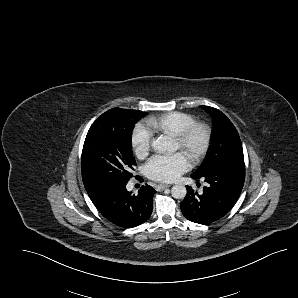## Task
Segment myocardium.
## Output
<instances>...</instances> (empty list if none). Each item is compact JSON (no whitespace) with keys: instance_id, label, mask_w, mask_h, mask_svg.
<instances>
[{"instance_id":"obj_1","label":"myocardium","mask_w":298,"mask_h":298,"mask_svg":"<svg viewBox=\"0 0 298 298\" xmlns=\"http://www.w3.org/2000/svg\"><path fill=\"white\" fill-rule=\"evenodd\" d=\"M192 136H196L197 143L195 149L187 158V161L193 163L201 156L208 143V130L204 124L192 123L186 125L167 134L164 139L180 144Z\"/></svg>"}]
</instances>
